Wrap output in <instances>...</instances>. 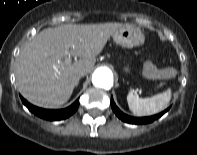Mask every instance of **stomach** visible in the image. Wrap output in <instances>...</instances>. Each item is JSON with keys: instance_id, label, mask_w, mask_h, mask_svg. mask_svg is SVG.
<instances>
[{"instance_id": "1", "label": "stomach", "mask_w": 197, "mask_h": 155, "mask_svg": "<svg viewBox=\"0 0 197 155\" xmlns=\"http://www.w3.org/2000/svg\"><path fill=\"white\" fill-rule=\"evenodd\" d=\"M112 36L117 44L127 48L139 47L144 43L143 32L133 25H123ZM124 70L126 73H129L130 67L125 66Z\"/></svg>"}]
</instances>
